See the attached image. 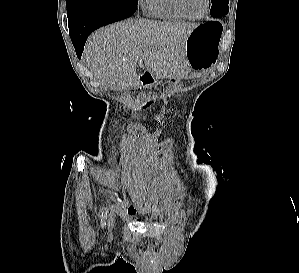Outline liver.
Wrapping results in <instances>:
<instances>
[{
    "mask_svg": "<svg viewBox=\"0 0 299 273\" xmlns=\"http://www.w3.org/2000/svg\"><path fill=\"white\" fill-rule=\"evenodd\" d=\"M197 23L125 20L94 32L84 51L93 74L112 89L139 85L137 67L152 75L181 76L190 67L186 41Z\"/></svg>",
    "mask_w": 299,
    "mask_h": 273,
    "instance_id": "6515ba94",
    "label": "liver"
}]
</instances>
